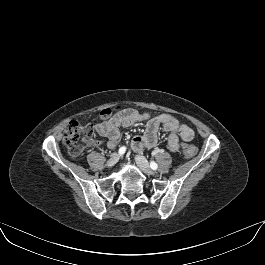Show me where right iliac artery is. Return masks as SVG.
Listing matches in <instances>:
<instances>
[{"label": "right iliac artery", "instance_id": "obj_1", "mask_svg": "<svg viewBox=\"0 0 265 265\" xmlns=\"http://www.w3.org/2000/svg\"><path fill=\"white\" fill-rule=\"evenodd\" d=\"M125 152H126V147H125V146H123V147H121V148L119 149V154H120V155H123Z\"/></svg>", "mask_w": 265, "mask_h": 265}]
</instances>
